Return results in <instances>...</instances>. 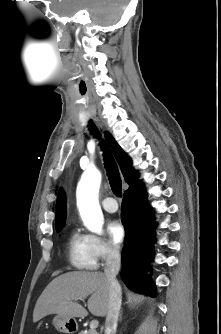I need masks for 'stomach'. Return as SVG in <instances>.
<instances>
[{"mask_svg":"<svg viewBox=\"0 0 221 334\" xmlns=\"http://www.w3.org/2000/svg\"><path fill=\"white\" fill-rule=\"evenodd\" d=\"M54 327L63 333H71L77 329V324L72 318H66L61 315H56L53 319Z\"/></svg>","mask_w":221,"mask_h":334,"instance_id":"obj_1","label":"stomach"}]
</instances>
